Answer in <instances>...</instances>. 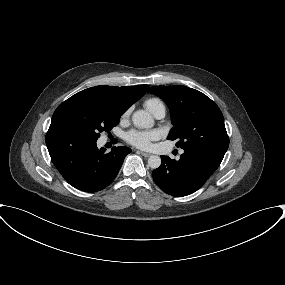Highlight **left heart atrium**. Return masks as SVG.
Listing matches in <instances>:
<instances>
[{"instance_id": "obj_1", "label": "left heart atrium", "mask_w": 285, "mask_h": 285, "mask_svg": "<svg viewBox=\"0 0 285 285\" xmlns=\"http://www.w3.org/2000/svg\"><path fill=\"white\" fill-rule=\"evenodd\" d=\"M158 137L159 135L155 131L132 130L126 134L125 139L129 144L139 149H149L152 142L157 140Z\"/></svg>"}]
</instances>
